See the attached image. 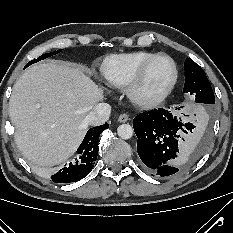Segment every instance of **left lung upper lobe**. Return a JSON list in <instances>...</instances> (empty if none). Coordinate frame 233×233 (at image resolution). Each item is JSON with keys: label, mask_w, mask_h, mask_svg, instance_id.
I'll return each mask as SVG.
<instances>
[{"label": "left lung upper lobe", "mask_w": 233, "mask_h": 233, "mask_svg": "<svg viewBox=\"0 0 233 233\" xmlns=\"http://www.w3.org/2000/svg\"><path fill=\"white\" fill-rule=\"evenodd\" d=\"M184 93L195 94V102L214 104L215 98L210 82L203 69L190 58L184 63Z\"/></svg>", "instance_id": "obj_1"}]
</instances>
